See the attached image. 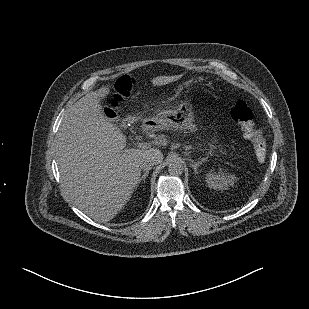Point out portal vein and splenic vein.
<instances>
[{"instance_id":"obj_1","label":"portal vein and splenic vein","mask_w":309,"mask_h":309,"mask_svg":"<svg viewBox=\"0 0 309 309\" xmlns=\"http://www.w3.org/2000/svg\"><path fill=\"white\" fill-rule=\"evenodd\" d=\"M152 145H154V142H142V143H138L137 147L141 148V149H148L150 148Z\"/></svg>"}]
</instances>
